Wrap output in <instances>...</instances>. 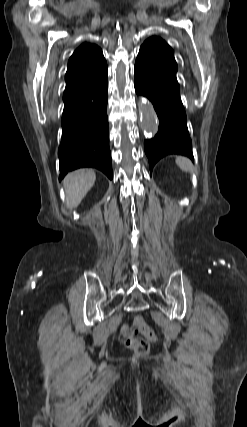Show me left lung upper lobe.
Masks as SVG:
<instances>
[{
  "label": "left lung upper lobe",
  "mask_w": 247,
  "mask_h": 427,
  "mask_svg": "<svg viewBox=\"0 0 247 427\" xmlns=\"http://www.w3.org/2000/svg\"><path fill=\"white\" fill-rule=\"evenodd\" d=\"M137 58L144 60L161 75L178 85L177 63L172 48L161 38L151 37L140 48Z\"/></svg>",
  "instance_id": "1"
}]
</instances>
